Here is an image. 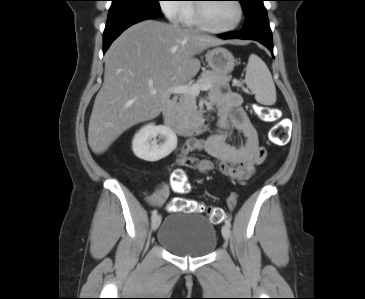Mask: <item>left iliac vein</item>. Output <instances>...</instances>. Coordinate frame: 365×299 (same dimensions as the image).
I'll return each instance as SVG.
<instances>
[{"label":"left iliac vein","instance_id":"obj_1","mask_svg":"<svg viewBox=\"0 0 365 299\" xmlns=\"http://www.w3.org/2000/svg\"><path fill=\"white\" fill-rule=\"evenodd\" d=\"M230 234H231L230 227H229L228 225H226V224H225V225L222 227V235H223V237L227 240V239H229Z\"/></svg>","mask_w":365,"mask_h":299}]
</instances>
